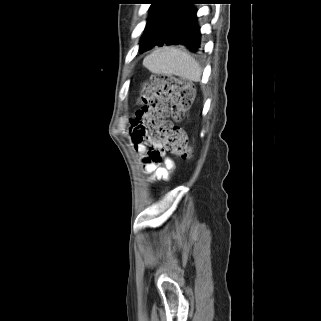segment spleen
Instances as JSON below:
<instances>
[{
  "label": "spleen",
  "instance_id": "spleen-1",
  "mask_svg": "<svg viewBox=\"0 0 321 321\" xmlns=\"http://www.w3.org/2000/svg\"><path fill=\"white\" fill-rule=\"evenodd\" d=\"M151 73L176 75L191 81H200L202 70L199 63L186 51L176 47H161L152 51L143 60Z\"/></svg>",
  "mask_w": 321,
  "mask_h": 321
}]
</instances>
